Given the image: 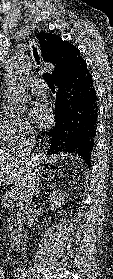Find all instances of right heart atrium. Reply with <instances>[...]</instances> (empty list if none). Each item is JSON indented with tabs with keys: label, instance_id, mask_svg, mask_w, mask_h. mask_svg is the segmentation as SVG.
I'll list each match as a JSON object with an SVG mask.
<instances>
[{
	"label": "right heart atrium",
	"instance_id": "right-heart-atrium-1",
	"mask_svg": "<svg viewBox=\"0 0 113 279\" xmlns=\"http://www.w3.org/2000/svg\"><path fill=\"white\" fill-rule=\"evenodd\" d=\"M34 132V127L26 117H16L11 122V134L13 140L29 136Z\"/></svg>",
	"mask_w": 113,
	"mask_h": 279
}]
</instances>
